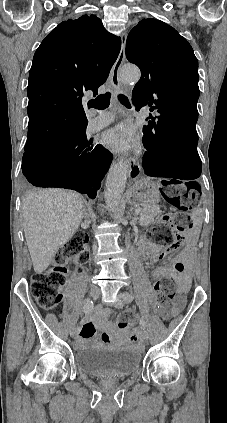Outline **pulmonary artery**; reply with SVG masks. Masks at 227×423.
I'll return each mask as SVG.
<instances>
[{"instance_id": "e3ab8cb5", "label": "pulmonary artery", "mask_w": 227, "mask_h": 423, "mask_svg": "<svg viewBox=\"0 0 227 423\" xmlns=\"http://www.w3.org/2000/svg\"><path fill=\"white\" fill-rule=\"evenodd\" d=\"M114 121V114L109 111H103L98 116L90 120V130H100Z\"/></svg>"}]
</instances>
